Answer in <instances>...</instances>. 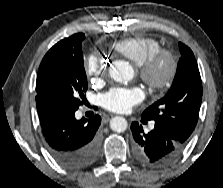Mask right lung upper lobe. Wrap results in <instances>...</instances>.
<instances>
[{
	"mask_svg": "<svg viewBox=\"0 0 223 188\" xmlns=\"http://www.w3.org/2000/svg\"><path fill=\"white\" fill-rule=\"evenodd\" d=\"M66 39H67V38H65L64 40H61V41H60V42H58L57 44L64 43Z\"/></svg>",
	"mask_w": 223,
	"mask_h": 188,
	"instance_id": "1",
	"label": "right lung upper lobe"
}]
</instances>
